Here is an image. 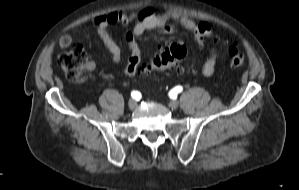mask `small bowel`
Returning <instances> with one entry per match:
<instances>
[{
    "label": "small bowel",
    "instance_id": "1",
    "mask_svg": "<svg viewBox=\"0 0 299 190\" xmlns=\"http://www.w3.org/2000/svg\"><path fill=\"white\" fill-rule=\"evenodd\" d=\"M92 23L96 27L98 36L116 63L121 61V49L110 35L108 28L115 24H133L132 30L125 34V39L131 51V55L124 67V73L128 76L136 74L140 62V50L135 42V38L148 30L171 33L177 25H180L193 34L200 48L204 46L207 39L213 36V30L208 23L196 21L178 10H168L161 14H156L152 8H143L131 12L122 10L111 11L106 14L95 15L92 18ZM72 43V37L66 35L60 39L59 46L68 48ZM217 60L218 51L213 49L202 66V74L204 76L208 77L214 73ZM87 68L93 70L95 63L89 61Z\"/></svg>",
    "mask_w": 299,
    "mask_h": 190
}]
</instances>
